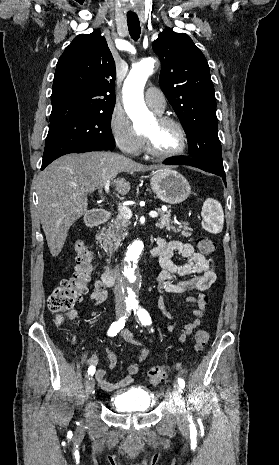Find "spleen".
<instances>
[{"label":"spleen","mask_w":279,"mask_h":465,"mask_svg":"<svg viewBox=\"0 0 279 465\" xmlns=\"http://www.w3.org/2000/svg\"><path fill=\"white\" fill-rule=\"evenodd\" d=\"M202 227L210 233H220L224 224V213L221 204L214 199H207L202 207Z\"/></svg>","instance_id":"spleen-1"}]
</instances>
